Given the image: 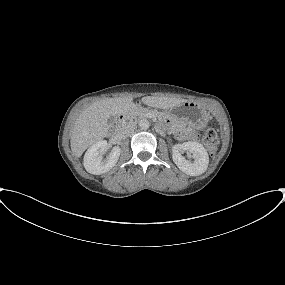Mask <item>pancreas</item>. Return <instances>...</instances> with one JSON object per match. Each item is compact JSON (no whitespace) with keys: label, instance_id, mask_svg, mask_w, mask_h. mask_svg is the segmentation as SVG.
I'll return each mask as SVG.
<instances>
[{"label":"pancreas","instance_id":"obj_1","mask_svg":"<svg viewBox=\"0 0 285 285\" xmlns=\"http://www.w3.org/2000/svg\"><path fill=\"white\" fill-rule=\"evenodd\" d=\"M148 115H152V116L158 117L159 119H162V118L166 117L164 114L159 113V112L149 111V110L144 109V108H135L129 114V118L130 119H136V118H139V117H146ZM172 122L175 123V124L178 123V121L176 119H172Z\"/></svg>","mask_w":285,"mask_h":285}]
</instances>
